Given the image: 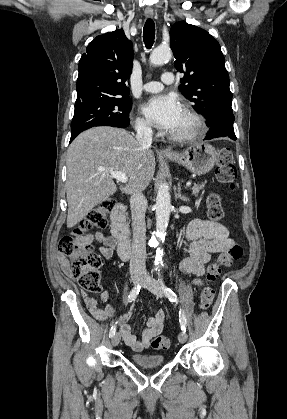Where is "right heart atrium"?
Segmentation results:
<instances>
[{
  "instance_id": "1",
  "label": "right heart atrium",
  "mask_w": 287,
  "mask_h": 419,
  "mask_svg": "<svg viewBox=\"0 0 287 419\" xmlns=\"http://www.w3.org/2000/svg\"><path fill=\"white\" fill-rule=\"evenodd\" d=\"M136 130L143 135L150 134L152 132L151 124L146 119L138 117L136 120Z\"/></svg>"
}]
</instances>
